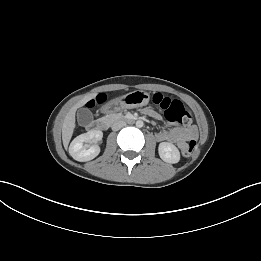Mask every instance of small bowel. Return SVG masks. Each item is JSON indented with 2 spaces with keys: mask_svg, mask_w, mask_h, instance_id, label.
Returning <instances> with one entry per match:
<instances>
[{
  "mask_svg": "<svg viewBox=\"0 0 261 261\" xmlns=\"http://www.w3.org/2000/svg\"><path fill=\"white\" fill-rule=\"evenodd\" d=\"M144 113L153 118H159L157 111L150 107L144 108ZM196 130L194 128L172 127L161 131L157 134L159 141H168L175 143L181 150L188 144V141L196 138Z\"/></svg>",
  "mask_w": 261,
  "mask_h": 261,
  "instance_id": "1",
  "label": "small bowel"
}]
</instances>
